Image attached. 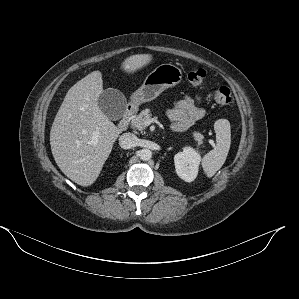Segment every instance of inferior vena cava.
Instances as JSON below:
<instances>
[{
    "instance_id": "obj_1",
    "label": "inferior vena cava",
    "mask_w": 299,
    "mask_h": 299,
    "mask_svg": "<svg viewBox=\"0 0 299 299\" xmlns=\"http://www.w3.org/2000/svg\"><path fill=\"white\" fill-rule=\"evenodd\" d=\"M137 140L138 139L134 134H132L130 132L124 133L119 138V145L123 149H131L136 146Z\"/></svg>"
}]
</instances>
